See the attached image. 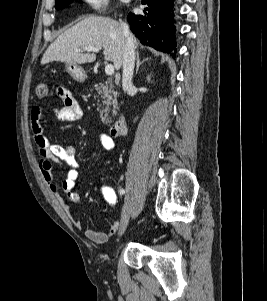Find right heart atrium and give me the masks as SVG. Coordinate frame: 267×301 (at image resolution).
<instances>
[{"instance_id": "obj_1", "label": "right heart atrium", "mask_w": 267, "mask_h": 301, "mask_svg": "<svg viewBox=\"0 0 267 301\" xmlns=\"http://www.w3.org/2000/svg\"><path fill=\"white\" fill-rule=\"evenodd\" d=\"M86 5L94 11H103L106 9L109 0H84Z\"/></svg>"}]
</instances>
